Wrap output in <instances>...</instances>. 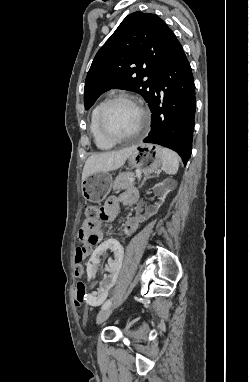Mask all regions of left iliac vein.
I'll return each instance as SVG.
<instances>
[{
	"mask_svg": "<svg viewBox=\"0 0 249 382\" xmlns=\"http://www.w3.org/2000/svg\"><path fill=\"white\" fill-rule=\"evenodd\" d=\"M113 309L112 308H107V309H102L98 315H97V322L98 323H102L104 322L106 319H108V317L111 315Z\"/></svg>",
	"mask_w": 249,
	"mask_h": 382,
	"instance_id": "1",
	"label": "left iliac vein"
}]
</instances>
